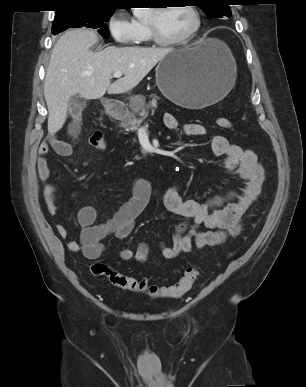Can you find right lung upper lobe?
<instances>
[{
	"label": "right lung upper lobe",
	"instance_id": "right-lung-upper-lobe-1",
	"mask_svg": "<svg viewBox=\"0 0 306 387\" xmlns=\"http://www.w3.org/2000/svg\"><path fill=\"white\" fill-rule=\"evenodd\" d=\"M56 14L69 9H115L116 0H59Z\"/></svg>",
	"mask_w": 306,
	"mask_h": 387
}]
</instances>
